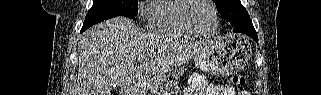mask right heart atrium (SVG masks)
I'll list each match as a JSON object with an SVG mask.
<instances>
[{"label":"right heart atrium","mask_w":321,"mask_h":95,"mask_svg":"<svg viewBox=\"0 0 321 95\" xmlns=\"http://www.w3.org/2000/svg\"><path fill=\"white\" fill-rule=\"evenodd\" d=\"M148 10H149V6L147 4H141L138 7L139 16H141V17L147 16L148 15Z\"/></svg>","instance_id":"right-heart-atrium-1"}]
</instances>
